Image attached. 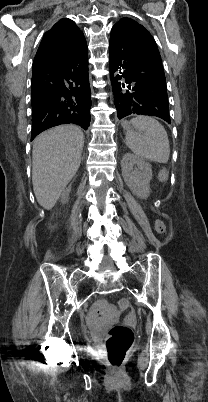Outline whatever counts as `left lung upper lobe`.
<instances>
[{
  "label": "left lung upper lobe",
  "mask_w": 208,
  "mask_h": 402,
  "mask_svg": "<svg viewBox=\"0 0 208 402\" xmlns=\"http://www.w3.org/2000/svg\"><path fill=\"white\" fill-rule=\"evenodd\" d=\"M115 25L123 26L136 37L146 33L137 44L138 63L137 69L146 76L153 78L162 86L166 87L165 74L161 62V56L154 38L145 27L130 18H122ZM114 25V26H115Z\"/></svg>",
  "instance_id": "5c2ea615"
}]
</instances>
